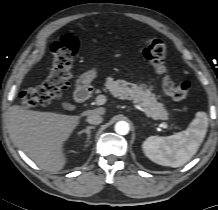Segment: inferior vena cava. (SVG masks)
Masks as SVG:
<instances>
[{"label":"inferior vena cava","instance_id":"inferior-vena-cava-1","mask_svg":"<svg viewBox=\"0 0 218 210\" xmlns=\"http://www.w3.org/2000/svg\"><path fill=\"white\" fill-rule=\"evenodd\" d=\"M102 121H103V117H102L100 114H98V113H96V112H94V111H92L91 113H89L88 116H87V122H88L89 124L98 125V124H100Z\"/></svg>","mask_w":218,"mask_h":210}]
</instances>
